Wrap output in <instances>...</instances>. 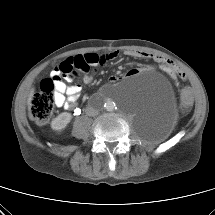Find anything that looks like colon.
Instances as JSON below:
<instances>
[{"label":"colon","instance_id":"obj_1","mask_svg":"<svg viewBox=\"0 0 215 215\" xmlns=\"http://www.w3.org/2000/svg\"><path fill=\"white\" fill-rule=\"evenodd\" d=\"M167 64L171 73L178 77L184 76L183 72L175 66ZM77 65L81 67V62L78 61ZM77 65L69 60H65L55 68L56 74L42 80L40 90L34 94L30 105V115L36 122L44 124L49 121L54 110L55 81L65 77H75L78 73ZM190 104L191 98L189 94L183 93L181 98L183 109H187Z\"/></svg>","mask_w":215,"mask_h":215}]
</instances>
